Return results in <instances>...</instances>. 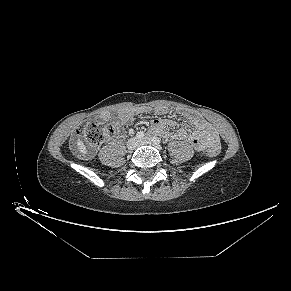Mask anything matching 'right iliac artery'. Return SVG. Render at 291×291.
<instances>
[{
    "mask_svg": "<svg viewBox=\"0 0 291 291\" xmlns=\"http://www.w3.org/2000/svg\"><path fill=\"white\" fill-rule=\"evenodd\" d=\"M136 137L139 138V139H141V138L144 137V133L140 131V132H138V133L136 134Z\"/></svg>",
    "mask_w": 291,
    "mask_h": 291,
    "instance_id": "right-iliac-artery-1",
    "label": "right iliac artery"
}]
</instances>
